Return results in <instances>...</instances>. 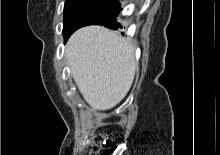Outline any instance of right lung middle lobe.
Masks as SVG:
<instances>
[{"label": "right lung middle lobe", "mask_w": 220, "mask_h": 155, "mask_svg": "<svg viewBox=\"0 0 220 155\" xmlns=\"http://www.w3.org/2000/svg\"><path fill=\"white\" fill-rule=\"evenodd\" d=\"M119 5L118 0H66L63 27L65 40L76 29Z\"/></svg>", "instance_id": "1"}]
</instances>
